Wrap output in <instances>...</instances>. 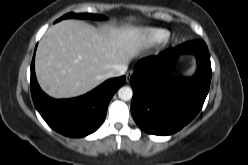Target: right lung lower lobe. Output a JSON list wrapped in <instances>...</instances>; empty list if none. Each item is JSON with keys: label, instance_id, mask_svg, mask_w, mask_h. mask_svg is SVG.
I'll return each mask as SVG.
<instances>
[{"label": "right lung lower lobe", "instance_id": "right-lung-lower-lobe-1", "mask_svg": "<svg viewBox=\"0 0 248 165\" xmlns=\"http://www.w3.org/2000/svg\"><path fill=\"white\" fill-rule=\"evenodd\" d=\"M124 82V76L113 78L83 96L55 100L37 83L34 57L31 64V95L36 109L51 128L69 137H84L96 131L106 117L112 96Z\"/></svg>", "mask_w": 248, "mask_h": 165}]
</instances>
